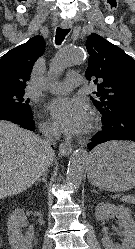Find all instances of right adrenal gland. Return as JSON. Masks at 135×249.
Here are the masks:
<instances>
[{
	"instance_id": "2a0ac1e0",
	"label": "right adrenal gland",
	"mask_w": 135,
	"mask_h": 249,
	"mask_svg": "<svg viewBox=\"0 0 135 249\" xmlns=\"http://www.w3.org/2000/svg\"><path fill=\"white\" fill-rule=\"evenodd\" d=\"M38 182H44L45 185L47 186V172H44V174L42 175V178H40Z\"/></svg>"
}]
</instances>
